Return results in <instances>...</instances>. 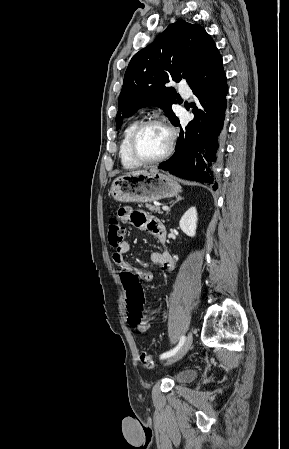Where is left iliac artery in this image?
<instances>
[{"label":"left iliac artery","mask_w":289,"mask_h":449,"mask_svg":"<svg viewBox=\"0 0 289 449\" xmlns=\"http://www.w3.org/2000/svg\"><path fill=\"white\" fill-rule=\"evenodd\" d=\"M184 341H185V336L183 335V336H181L180 341L177 344V346L174 347L172 350L167 351V352L161 354L160 355V359H166V358H169L172 355H174L180 349V347L183 345Z\"/></svg>","instance_id":"1"}]
</instances>
